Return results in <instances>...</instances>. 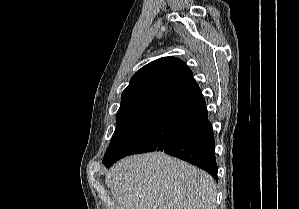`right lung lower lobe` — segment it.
Wrapping results in <instances>:
<instances>
[{
  "label": "right lung lower lobe",
  "mask_w": 299,
  "mask_h": 209,
  "mask_svg": "<svg viewBox=\"0 0 299 209\" xmlns=\"http://www.w3.org/2000/svg\"><path fill=\"white\" fill-rule=\"evenodd\" d=\"M213 129L200 88L190 81L159 104L144 125L111 160L132 154L164 151L196 165L217 180Z\"/></svg>",
  "instance_id": "obj_1"
}]
</instances>
